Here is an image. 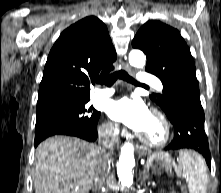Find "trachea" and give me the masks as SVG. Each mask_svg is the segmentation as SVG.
<instances>
[{"label": "trachea", "mask_w": 221, "mask_h": 193, "mask_svg": "<svg viewBox=\"0 0 221 193\" xmlns=\"http://www.w3.org/2000/svg\"><path fill=\"white\" fill-rule=\"evenodd\" d=\"M117 79H122L124 81H127L129 83H133V84H138V85L140 84L134 78L129 76L128 73L125 72L124 70L115 71L114 73L110 74L106 78L100 80L99 83L105 84L106 86L110 87L116 82ZM146 87H148V86H146Z\"/></svg>", "instance_id": "obj_1"}]
</instances>
